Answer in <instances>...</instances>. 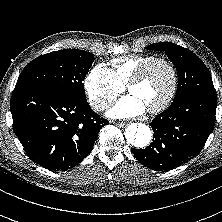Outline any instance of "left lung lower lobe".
Segmentation results:
<instances>
[{
  "instance_id": "left-lung-lower-lobe-1",
  "label": "left lung lower lobe",
  "mask_w": 222,
  "mask_h": 222,
  "mask_svg": "<svg viewBox=\"0 0 222 222\" xmlns=\"http://www.w3.org/2000/svg\"><path fill=\"white\" fill-rule=\"evenodd\" d=\"M217 99L193 95L172 103L150 123L153 142L145 149L132 148L147 168L168 171L197 156L215 126Z\"/></svg>"
}]
</instances>
